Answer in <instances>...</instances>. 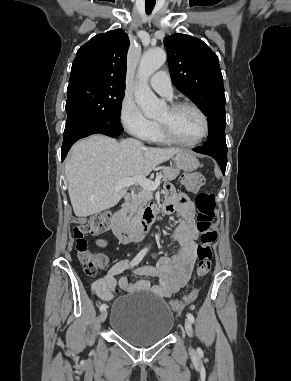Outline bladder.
<instances>
[{
  "label": "bladder",
  "mask_w": 291,
  "mask_h": 381,
  "mask_svg": "<svg viewBox=\"0 0 291 381\" xmlns=\"http://www.w3.org/2000/svg\"><path fill=\"white\" fill-rule=\"evenodd\" d=\"M174 315L159 297L130 292L111 305L110 328L127 342L150 346L166 338L173 328Z\"/></svg>",
  "instance_id": "31cf9c89"
}]
</instances>
